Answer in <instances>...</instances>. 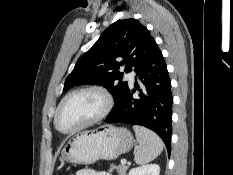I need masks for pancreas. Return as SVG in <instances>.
Here are the masks:
<instances>
[{
  "label": "pancreas",
  "instance_id": "cf45deb5",
  "mask_svg": "<svg viewBox=\"0 0 233 175\" xmlns=\"http://www.w3.org/2000/svg\"><path fill=\"white\" fill-rule=\"evenodd\" d=\"M111 170L117 169V172L119 175H126V172L128 170V167L124 166V165H119V166H115L113 164L110 165Z\"/></svg>",
  "mask_w": 233,
  "mask_h": 175
}]
</instances>
